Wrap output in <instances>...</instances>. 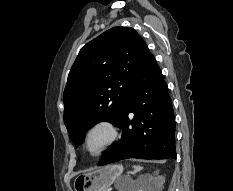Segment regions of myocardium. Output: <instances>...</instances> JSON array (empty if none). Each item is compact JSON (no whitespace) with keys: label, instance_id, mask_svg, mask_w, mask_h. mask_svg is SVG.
<instances>
[{"label":"myocardium","instance_id":"1","mask_svg":"<svg viewBox=\"0 0 233 191\" xmlns=\"http://www.w3.org/2000/svg\"><path fill=\"white\" fill-rule=\"evenodd\" d=\"M97 131H104L105 139L96 149L93 150L90 146V139ZM118 137L119 128L113 121L106 119L98 120L93 122L87 128L84 134L83 148L88 155L98 157L105 153L116 142Z\"/></svg>","mask_w":233,"mask_h":191}]
</instances>
